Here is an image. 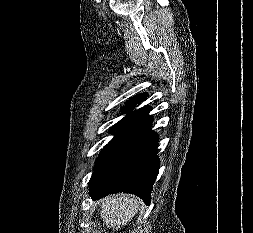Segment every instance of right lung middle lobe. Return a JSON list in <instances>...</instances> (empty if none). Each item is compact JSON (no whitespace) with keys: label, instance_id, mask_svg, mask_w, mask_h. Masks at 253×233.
I'll use <instances>...</instances> for the list:
<instances>
[{"label":"right lung middle lobe","instance_id":"dd1d6c3e","mask_svg":"<svg viewBox=\"0 0 253 233\" xmlns=\"http://www.w3.org/2000/svg\"><path fill=\"white\" fill-rule=\"evenodd\" d=\"M134 104H127L125 107L122 108V113H129L130 111H132V109L134 108ZM127 117V116H126ZM126 117L124 119H122L120 122H118L111 130V132H113L114 130H116L118 128V126L126 119Z\"/></svg>","mask_w":253,"mask_h":233}]
</instances>
